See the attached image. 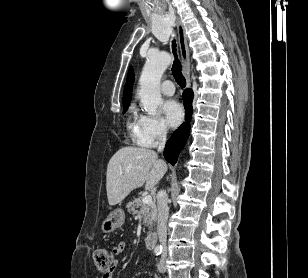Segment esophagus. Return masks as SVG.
<instances>
[{
  "instance_id": "34e87169",
  "label": "esophagus",
  "mask_w": 308,
  "mask_h": 278,
  "mask_svg": "<svg viewBox=\"0 0 308 278\" xmlns=\"http://www.w3.org/2000/svg\"><path fill=\"white\" fill-rule=\"evenodd\" d=\"M177 32H178V42H179V49L182 58V68L183 74L186 79L187 87H191V78H190V63H189V48L187 43V37L185 34V29L182 22L177 19Z\"/></svg>"
}]
</instances>
